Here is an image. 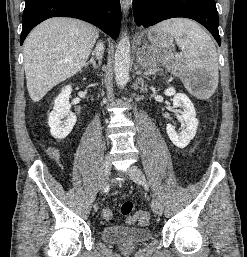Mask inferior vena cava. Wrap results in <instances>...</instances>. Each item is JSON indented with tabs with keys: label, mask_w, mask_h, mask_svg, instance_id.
Listing matches in <instances>:
<instances>
[{
	"label": "inferior vena cava",
	"mask_w": 247,
	"mask_h": 257,
	"mask_svg": "<svg viewBox=\"0 0 247 257\" xmlns=\"http://www.w3.org/2000/svg\"><path fill=\"white\" fill-rule=\"evenodd\" d=\"M103 51H104V46L103 44L100 42L96 45V49H95V55L97 57V59H99V61L102 59L103 56ZM94 54V53H93Z\"/></svg>",
	"instance_id": "602c4592"
}]
</instances>
